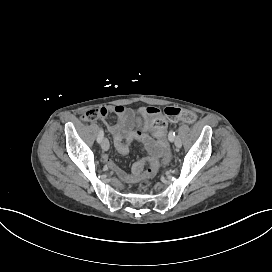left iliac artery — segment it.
I'll return each instance as SVG.
<instances>
[{
  "instance_id": "44dca946",
  "label": "left iliac artery",
  "mask_w": 272,
  "mask_h": 272,
  "mask_svg": "<svg viewBox=\"0 0 272 272\" xmlns=\"http://www.w3.org/2000/svg\"><path fill=\"white\" fill-rule=\"evenodd\" d=\"M168 138H169V140H170L171 142L174 141V139H175V132H174L173 130H171V131L169 132Z\"/></svg>"
}]
</instances>
